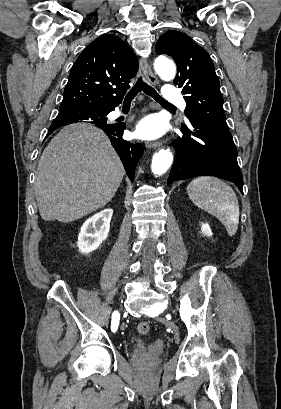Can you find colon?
Masks as SVG:
<instances>
[{
	"instance_id": "5ec220e1",
	"label": "colon",
	"mask_w": 281,
	"mask_h": 409,
	"mask_svg": "<svg viewBox=\"0 0 281 409\" xmlns=\"http://www.w3.org/2000/svg\"><path fill=\"white\" fill-rule=\"evenodd\" d=\"M150 331V324L148 322H140L137 325V332L141 335H147Z\"/></svg>"
}]
</instances>
